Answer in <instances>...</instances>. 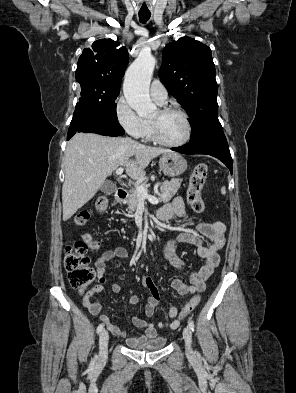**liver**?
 Here are the masks:
<instances>
[{
    "label": "liver",
    "instance_id": "1",
    "mask_svg": "<svg viewBox=\"0 0 296 393\" xmlns=\"http://www.w3.org/2000/svg\"><path fill=\"white\" fill-rule=\"evenodd\" d=\"M170 152L129 138L75 134L67 143L64 158L63 220L67 221L92 199L105 179L118 167H124L133 179H143L151 160Z\"/></svg>",
    "mask_w": 296,
    "mask_h": 393
}]
</instances>
